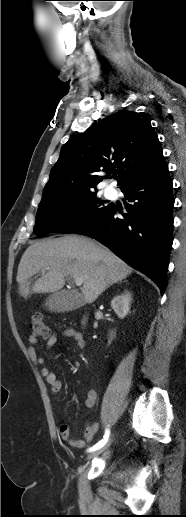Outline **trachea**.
<instances>
[{"label":"trachea","instance_id":"1","mask_svg":"<svg viewBox=\"0 0 186 517\" xmlns=\"http://www.w3.org/2000/svg\"><path fill=\"white\" fill-rule=\"evenodd\" d=\"M113 177L116 179V178H117V175H114Z\"/></svg>","mask_w":186,"mask_h":517}]
</instances>
